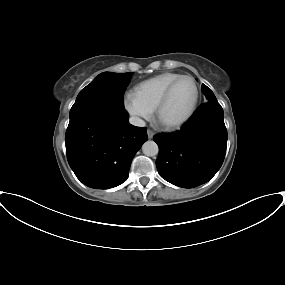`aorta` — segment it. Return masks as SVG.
<instances>
[{"instance_id": "aorta-1", "label": "aorta", "mask_w": 285, "mask_h": 285, "mask_svg": "<svg viewBox=\"0 0 285 285\" xmlns=\"http://www.w3.org/2000/svg\"><path fill=\"white\" fill-rule=\"evenodd\" d=\"M142 151L147 156H156L159 152V148L154 141L148 140L143 144Z\"/></svg>"}]
</instances>
